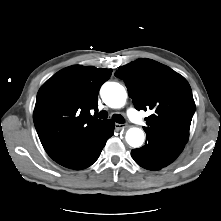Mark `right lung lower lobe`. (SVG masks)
<instances>
[{
    "label": "right lung lower lobe",
    "mask_w": 221,
    "mask_h": 221,
    "mask_svg": "<svg viewBox=\"0 0 221 221\" xmlns=\"http://www.w3.org/2000/svg\"><path fill=\"white\" fill-rule=\"evenodd\" d=\"M114 123L105 120L93 133L56 160L64 167L81 170L91 166L100 156L106 141L113 135Z\"/></svg>",
    "instance_id": "obj_1"
}]
</instances>
